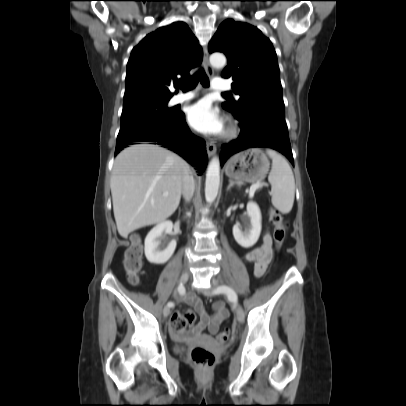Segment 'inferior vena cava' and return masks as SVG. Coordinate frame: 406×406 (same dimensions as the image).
Returning a JSON list of instances; mask_svg holds the SVG:
<instances>
[{"mask_svg": "<svg viewBox=\"0 0 406 406\" xmlns=\"http://www.w3.org/2000/svg\"><path fill=\"white\" fill-rule=\"evenodd\" d=\"M195 192V180L191 170L186 167L182 175V195L185 202H190Z\"/></svg>", "mask_w": 406, "mask_h": 406, "instance_id": "obj_1", "label": "inferior vena cava"}]
</instances>
